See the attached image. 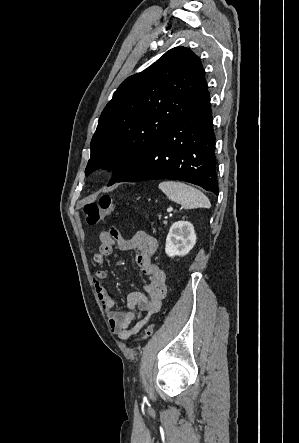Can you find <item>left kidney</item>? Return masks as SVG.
I'll return each instance as SVG.
<instances>
[{
  "instance_id": "left-kidney-1",
  "label": "left kidney",
  "mask_w": 299,
  "mask_h": 443,
  "mask_svg": "<svg viewBox=\"0 0 299 443\" xmlns=\"http://www.w3.org/2000/svg\"><path fill=\"white\" fill-rule=\"evenodd\" d=\"M195 244L196 234L193 225L187 221H178L170 227L165 252L169 257L185 256Z\"/></svg>"
}]
</instances>
